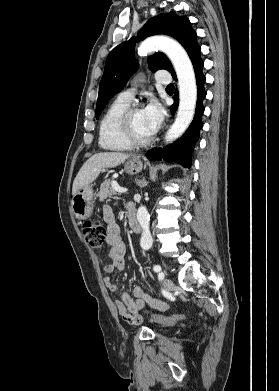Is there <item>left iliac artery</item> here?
Listing matches in <instances>:
<instances>
[{
    "label": "left iliac artery",
    "mask_w": 279,
    "mask_h": 391,
    "mask_svg": "<svg viewBox=\"0 0 279 391\" xmlns=\"http://www.w3.org/2000/svg\"><path fill=\"white\" fill-rule=\"evenodd\" d=\"M153 270L158 273V277L160 280H162L164 278V273L161 271V266L160 265H155L153 267Z\"/></svg>",
    "instance_id": "left-iliac-artery-1"
}]
</instances>
